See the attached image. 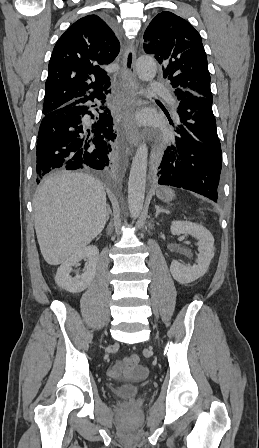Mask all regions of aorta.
<instances>
[{
    "instance_id": "762f6f07",
    "label": "aorta",
    "mask_w": 259,
    "mask_h": 448,
    "mask_svg": "<svg viewBox=\"0 0 259 448\" xmlns=\"http://www.w3.org/2000/svg\"><path fill=\"white\" fill-rule=\"evenodd\" d=\"M136 72L142 81H151L157 72V64L150 56H141L136 62ZM148 162V147L143 142L137 148L132 161L128 181V206L132 218L136 219L143 208Z\"/></svg>"
}]
</instances>
